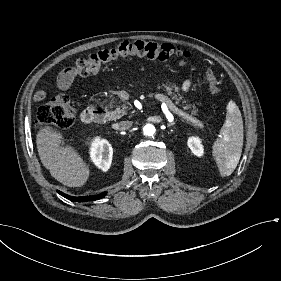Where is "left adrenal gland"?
Segmentation results:
<instances>
[{
    "label": "left adrenal gland",
    "instance_id": "obj_1",
    "mask_svg": "<svg viewBox=\"0 0 281 281\" xmlns=\"http://www.w3.org/2000/svg\"><path fill=\"white\" fill-rule=\"evenodd\" d=\"M176 122H177V121H174L173 123L167 124V127H168V128H171V127L175 126V125H176Z\"/></svg>",
    "mask_w": 281,
    "mask_h": 281
}]
</instances>
